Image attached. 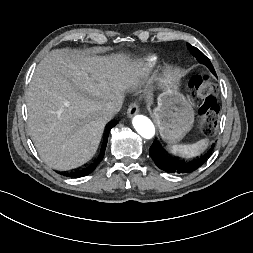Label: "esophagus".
<instances>
[{
	"mask_svg": "<svg viewBox=\"0 0 253 253\" xmlns=\"http://www.w3.org/2000/svg\"><path fill=\"white\" fill-rule=\"evenodd\" d=\"M139 112V108L136 103H131L128 107L127 114L129 117L135 116Z\"/></svg>",
	"mask_w": 253,
	"mask_h": 253,
	"instance_id": "34e87169",
	"label": "esophagus"
}]
</instances>
